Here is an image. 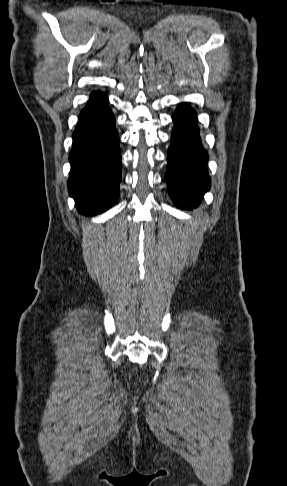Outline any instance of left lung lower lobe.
<instances>
[{
    "mask_svg": "<svg viewBox=\"0 0 287 486\" xmlns=\"http://www.w3.org/2000/svg\"><path fill=\"white\" fill-rule=\"evenodd\" d=\"M172 119L174 128L168 151L166 181L174 203L184 209L197 206L210 188L196 112L187 104H179Z\"/></svg>",
    "mask_w": 287,
    "mask_h": 486,
    "instance_id": "1",
    "label": "left lung lower lobe"
}]
</instances>
